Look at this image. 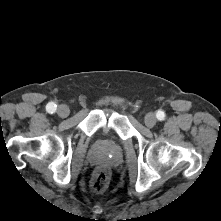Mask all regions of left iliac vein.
I'll list each match as a JSON object with an SVG mask.
<instances>
[{
	"label": "left iliac vein",
	"mask_w": 221,
	"mask_h": 221,
	"mask_svg": "<svg viewBox=\"0 0 221 221\" xmlns=\"http://www.w3.org/2000/svg\"><path fill=\"white\" fill-rule=\"evenodd\" d=\"M144 121H145L146 126L151 128L156 124L157 119H156L155 114L150 112V113L146 114Z\"/></svg>",
	"instance_id": "left-iliac-vein-1"
}]
</instances>
